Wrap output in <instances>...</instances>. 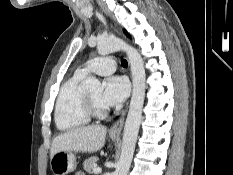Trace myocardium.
<instances>
[{
  "instance_id": "obj_1",
  "label": "myocardium",
  "mask_w": 233,
  "mask_h": 175,
  "mask_svg": "<svg viewBox=\"0 0 233 175\" xmlns=\"http://www.w3.org/2000/svg\"><path fill=\"white\" fill-rule=\"evenodd\" d=\"M82 107L84 112L90 118H102L107 115V109L105 106L97 105L87 93L83 94Z\"/></svg>"
}]
</instances>
